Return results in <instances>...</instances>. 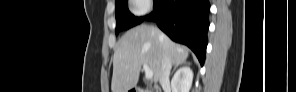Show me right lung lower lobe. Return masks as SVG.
<instances>
[{
  "label": "right lung lower lobe",
  "mask_w": 296,
  "mask_h": 92,
  "mask_svg": "<svg viewBox=\"0 0 296 92\" xmlns=\"http://www.w3.org/2000/svg\"><path fill=\"white\" fill-rule=\"evenodd\" d=\"M209 8L208 0H158L147 19L155 21L172 40L190 47L203 65Z\"/></svg>",
  "instance_id": "1"
}]
</instances>
